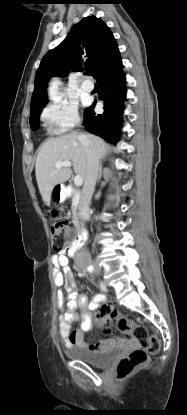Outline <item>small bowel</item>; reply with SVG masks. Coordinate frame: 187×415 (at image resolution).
I'll return each mask as SVG.
<instances>
[{
  "instance_id": "1",
  "label": "small bowel",
  "mask_w": 187,
  "mask_h": 415,
  "mask_svg": "<svg viewBox=\"0 0 187 415\" xmlns=\"http://www.w3.org/2000/svg\"><path fill=\"white\" fill-rule=\"evenodd\" d=\"M71 253V251L69 252ZM53 264L62 271L54 272V282L56 286H65L67 302L65 303L64 294L58 292V307L63 311L59 317V332L66 347H83L90 351H98L109 347L114 341L104 340L100 343H86L85 333L91 330L93 320L92 313L96 310L98 302L103 300L102 295H98L94 300L89 301L87 297L77 291L76 282L71 269L68 265V252H60L52 257ZM80 312L77 314L76 310ZM80 320L81 327L72 330V323Z\"/></svg>"
}]
</instances>
